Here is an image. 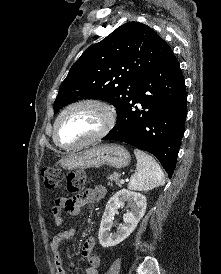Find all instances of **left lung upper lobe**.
Segmentation results:
<instances>
[{
	"instance_id": "1",
	"label": "left lung upper lobe",
	"mask_w": 221,
	"mask_h": 274,
	"mask_svg": "<svg viewBox=\"0 0 221 274\" xmlns=\"http://www.w3.org/2000/svg\"><path fill=\"white\" fill-rule=\"evenodd\" d=\"M170 46L150 27L128 22L87 48L62 82L54 113L79 99H102L118 111L136 94L140 78Z\"/></svg>"
}]
</instances>
